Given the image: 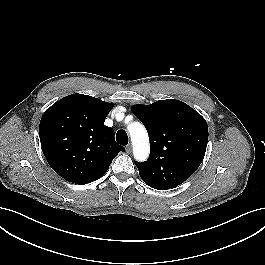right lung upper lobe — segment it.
<instances>
[{
	"label": "right lung upper lobe",
	"mask_w": 265,
	"mask_h": 265,
	"mask_svg": "<svg viewBox=\"0 0 265 265\" xmlns=\"http://www.w3.org/2000/svg\"><path fill=\"white\" fill-rule=\"evenodd\" d=\"M113 103L83 94L68 95L43 114L39 136L52 169L67 181L87 184L108 170L124 147L104 125Z\"/></svg>",
	"instance_id": "obj_1"
}]
</instances>
